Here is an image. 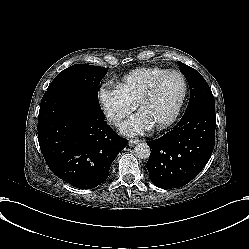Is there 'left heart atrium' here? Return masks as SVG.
<instances>
[{
  "mask_svg": "<svg viewBox=\"0 0 249 249\" xmlns=\"http://www.w3.org/2000/svg\"><path fill=\"white\" fill-rule=\"evenodd\" d=\"M128 129L137 133H143L149 131L151 125L143 116H136L129 121Z\"/></svg>",
  "mask_w": 249,
  "mask_h": 249,
  "instance_id": "obj_1",
  "label": "left heart atrium"
}]
</instances>
